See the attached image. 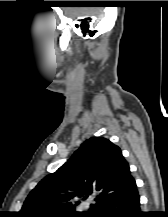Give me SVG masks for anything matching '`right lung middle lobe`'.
<instances>
[{"label":"right lung middle lobe","mask_w":168,"mask_h":217,"mask_svg":"<svg viewBox=\"0 0 168 217\" xmlns=\"http://www.w3.org/2000/svg\"><path fill=\"white\" fill-rule=\"evenodd\" d=\"M53 217H84V216H80V215H67V216L66 215H55Z\"/></svg>","instance_id":"right-lung-middle-lobe-1"}]
</instances>
